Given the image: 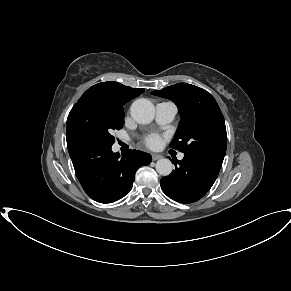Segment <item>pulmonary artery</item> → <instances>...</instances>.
<instances>
[{
    "instance_id": "e3ab8cb5",
    "label": "pulmonary artery",
    "mask_w": 291,
    "mask_h": 291,
    "mask_svg": "<svg viewBox=\"0 0 291 291\" xmlns=\"http://www.w3.org/2000/svg\"><path fill=\"white\" fill-rule=\"evenodd\" d=\"M177 114V107L172 102H160L156 106V121L160 125H167L172 122ZM178 158H184V154H179Z\"/></svg>"
}]
</instances>
